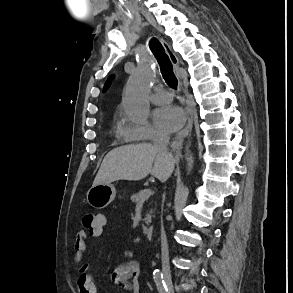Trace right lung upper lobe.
Masks as SVG:
<instances>
[{"instance_id":"1","label":"right lung upper lobe","mask_w":293,"mask_h":293,"mask_svg":"<svg viewBox=\"0 0 293 293\" xmlns=\"http://www.w3.org/2000/svg\"><path fill=\"white\" fill-rule=\"evenodd\" d=\"M111 79H112V76H110V77L108 78V80L106 81L105 86H104V91L108 88Z\"/></svg>"}]
</instances>
